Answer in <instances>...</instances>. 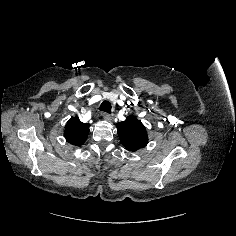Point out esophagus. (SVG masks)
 I'll use <instances>...</instances> for the list:
<instances>
[{
  "label": "esophagus",
  "instance_id": "1",
  "mask_svg": "<svg viewBox=\"0 0 236 236\" xmlns=\"http://www.w3.org/2000/svg\"><path fill=\"white\" fill-rule=\"evenodd\" d=\"M103 118H104V120L110 122V121L113 119V116H112V114L104 113V114H103Z\"/></svg>",
  "mask_w": 236,
  "mask_h": 236
}]
</instances>
